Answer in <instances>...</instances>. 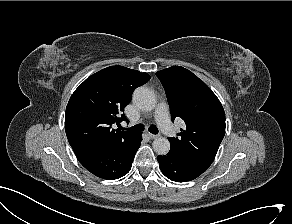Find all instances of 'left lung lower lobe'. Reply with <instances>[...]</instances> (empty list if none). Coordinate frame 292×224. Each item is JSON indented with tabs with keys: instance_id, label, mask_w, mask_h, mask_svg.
I'll return each mask as SVG.
<instances>
[{
	"instance_id": "0a47b994",
	"label": "left lung lower lobe",
	"mask_w": 292,
	"mask_h": 224,
	"mask_svg": "<svg viewBox=\"0 0 292 224\" xmlns=\"http://www.w3.org/2000/svg\"><path fill=\"white\" fill-rule=\"evenodd\" d=\"M157 160L162 173L175 182L193 180L206 171L175 152L169 151L165 156H158Z\"/></svg>"
}]
</instances>
